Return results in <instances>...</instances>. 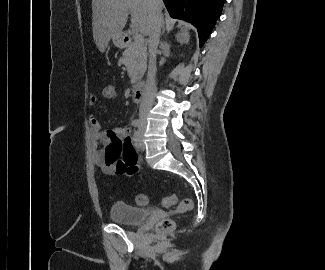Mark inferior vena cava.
<instances>
[{"label": "inferior vena cava", "mask_w": 325, "mask_h": 270, "mask_svg": "<svg viewBox=\"0 0 325 270\" xmlns=\"http://www.w3.org/2000/svg\"><path fill=\"white\" fill-rule=\"evenodd\" d=\"M151 8V18L149 26V66L147 83L140 105V118L145 121L146 116L151 110L156 94V53L160 39V31L162 27V0H148Z\"/></svg>", "instance_id": "obj_1"}]
</instances>
